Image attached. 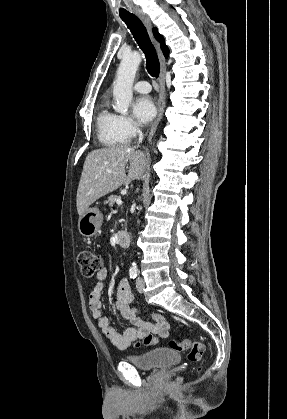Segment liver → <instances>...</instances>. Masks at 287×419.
I'll return each mask as SVG.
<instances>
[{
    "label": "liver",
    "instance_id": "obj_1",
    "mask_svg": "<svg viewBox=\"0 0 287 419\" xmlns=\"http://www.w3.org/2000/svg\"><path fill=\"white\" fill-rule=\"evenodd\" d=\"M130 163L128 174L126 165ZM148 163L147 155L126 145L109 146L88 153L77 189V212L81 217L96 200L139 180Z\"/></svg>",
    "mask_w": 287,
    "mask_h": 419
}]
</instances>
